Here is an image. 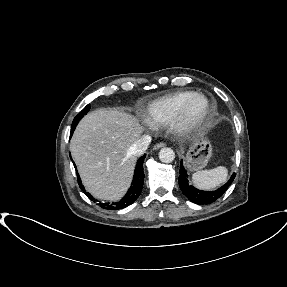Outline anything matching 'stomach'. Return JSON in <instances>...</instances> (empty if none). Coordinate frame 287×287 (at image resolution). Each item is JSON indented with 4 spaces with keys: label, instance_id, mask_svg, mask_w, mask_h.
<instances>
[{
    "label": "stomach",
    "instance_id": "obj_1",
    "mask_svg": "<svg viewBox=\"0 0 287 287\" xmlns=\"http://www.w3.org/2000/svg\"><path fill=\"white\" fill-rule=\"evenodd\" d=\"M212 156V145L206 138L195 140L187 150L185 164L189 170L204 168Z\"/></svg>",
    "mask_w": 287,
    "mask_h": 287
}]
</instances>
